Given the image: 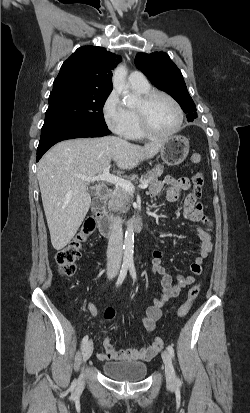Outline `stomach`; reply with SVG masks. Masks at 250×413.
Instances as JSON below:
<instances>
[{
    "mask_svg": "<svg viewBox=\"0 0 250 413\" xmlns=\"http://www.w3.org/2000/svg\"><path fill=\"white\" fill-rule=\"evenodd\" d=\"M189 152V141L181 135L171 136L163 140L160 156L164 163L170 166L181 164Z\"/></svg>",
    "mask_w": 250,
    "mask_h": 413,
    "instance_id": "obj_1",
    "label": "stomach"
}]
</instances>
